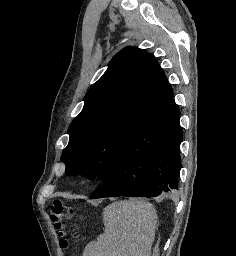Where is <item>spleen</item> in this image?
<instances>
[{"mask_svg":"<svg viewBox=\"0 0 236 256\" xmlns=\"http://www.w3.org/2000/svg\"><path fill=\"white\" fill-rule=\"evenodd\" d=\"M104 234L87 244L83 256H151L157 214L145 200H123L106 206Z\"/></svg>","mask_w":236,"mask_h":256,"instance_id":"obj_1","label":"spleen"}]
</instances>
